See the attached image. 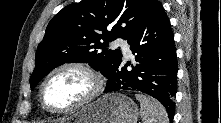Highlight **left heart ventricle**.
Here are the masks:
<instances>
[{"label": "left heart ventricle", "mask_w": 221, "mask_h": 123, "mask_svg": "<svg viewBox=\"0 0 221 123\" xmlns=\"http://www.w3.org/2000/svg\"><path fill=\"white\" fill-rule=\"evenodd\" d=\"M92 80L78 70H63L47 83L45 99L56 108H65L84 99L92 90Z\"/></svg>", "instance_id": "left-heart-ventricle-1"}]
</instances>
